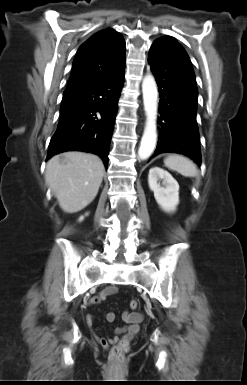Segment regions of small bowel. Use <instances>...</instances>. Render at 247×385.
I'll list each match as a JSON object with an SVG mask.
<instances>
[{"instance_id": "1", "label": "small bowel", "mask_w": 247, "mask_h": 385, "mask_svg": "<svg viewBox=\"0 0 247 385\" xmlns=\"http://www.w3.org/2000/svg\"><path fill=\"white\" fill-rule=\"evenodd\" d=\"M116 292V287L106 288L99 295L92 297L89 300V303L92 305L100 304L103 300H105L110 295L115 294ZM115 317L116 315L113 312H108L105 314V319L108 322H113L115 320ZM142 319L143 315L141 313H130L125 311L123 313V320L125 321L126 325L124 327L116 328L113 336L103 337L97 335L96 340L101 346L107 348L110 344L117 342L119 335L121 334H123L125 338L130 339L138 333L139 323L142 321ZM86 322L87 325L91 326L93 323L92 317H88Z\"/></svg>"}]
</instances>
